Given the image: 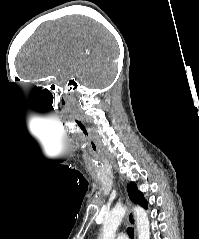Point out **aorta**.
I'll return each instance as SVG.
<instances>
[{"label":"aorta","mask_w":199,"mask_h":239,"mask_svg":"<svg viewBox=\"0 0 199 239\" xmlns=\"http://www.w3.org/2000/svg\"><path fill=\"white\" fill-rule=\"evenodd\" d=\"M134 212L137 221L138 239H150V226L146 211L141 207H135ZM125 213L126 207L116 205L110 213L105 216L101 239H115L116 232Z\"/></svg>","instance_id":"obj_1"}]
</instances>
